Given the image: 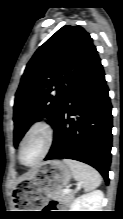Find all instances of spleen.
Masks as SVG:
<instances>
[{"label":"spleen","mask_w":123,"mask_h":219,"mask_svg":"<svg viewBox=\"0 0 123 219\" xmlns=\"http://www.w3.org/2000/svg\"><path fill=\"white\" fill-rule=\"evenodd\" d=\"M63 162L70 167L75 180L82 185L86 192L100 186L102 179L94 168L70 159H64Z\"/></svg>","instance_id":"3e777b00"}]
</instances>
